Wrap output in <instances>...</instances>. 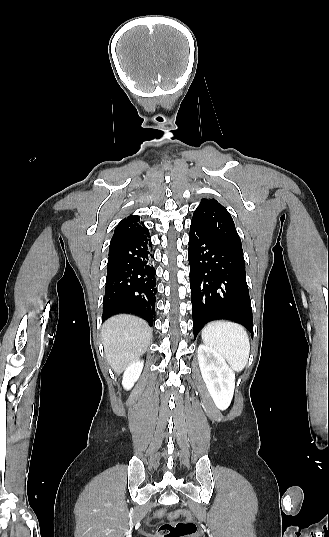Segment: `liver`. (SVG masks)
Wrapping results in <instances>:
<instances>
[{
  "instance_id": "obj_1",
  "label": "liver",
  "mask_w": 329,
  "mask_h": 537,
  "mask_svg": "<svg viewBox=\"0 0 329 537\" xmlns=\"http://www.w3.org/2000/svg\"><path fill=\"white\" fill-rule=\"evenodd\" d=\"M152 339L148 324L131 315H117L102 327V341L107 362L120 374L143 355Z\"/></svg>"
}]
</instances>
